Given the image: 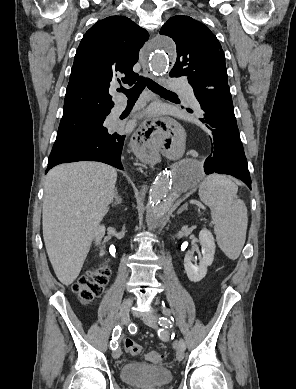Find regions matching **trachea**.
I'll return each mask as SVG.
<instances>
[{"label": "trachea", "instance_id": "1", "mask_svg": "<svg viewBox=\"0 0 296 389\" xmlns=\"http://www.w3.org/2000/svg\"><path fill=\"white\" fill-rule=\"evenodd\" d=\"M148 87L152 92L160 95H175V93L163 88L153 80L140 76L136 84L130 88L125 89L123 87L118 89V92H123L128 100H137L145 87Z\"/></svg>", "mask_w": 296, "mask_h": 389}]
</instances>
